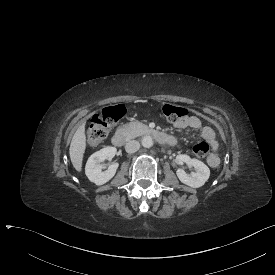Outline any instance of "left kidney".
<instances>
[{
  "mask_svg": "<svg viewBox=\"0 0 275 275\" xmlns=\"http://www.w3.org/2000/svg\"><path fill=\"white\" fill-rule=\"evenodd\" d=\"M175 160L179 164L186 163L188 166H193L196 170L189 175L183 169H178L176 173L182 183L193 188H199L208 180L210 170L202 161L192 159L186 154L177 155Z\"/></svg>",
  "mask_w": 275,
  "mask_h": 275,
  "instance_id": "5707ae66",
  "label": "left kidney"
}]
</instances>
